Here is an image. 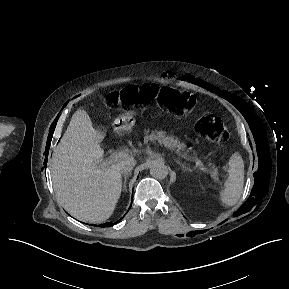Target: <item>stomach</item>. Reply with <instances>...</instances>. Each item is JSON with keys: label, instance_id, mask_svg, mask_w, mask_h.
Returning <instances> with one entry per match:
<instances>
[{"label": "stomach", "instance_id": "1", "mask_svg": "<svg viewBox=\"0 0 289 289\" xmlns=\"http://www.w3.org/2000/svg\"><path fill=\"white\" fill-rule=\"evenodd\" d=\"M134 125V114L126 112L114 122V129L118 132L128 131Z\"/></svg>", "mask_w": 289, "mask_h": 289}]
</instances>
